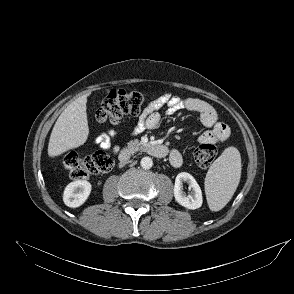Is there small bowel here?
<instances>
[{"label": "small bowel", "mask_w": 294, "mask_h": 294, "mask_svg": "<svg viewBox=\"0 0 294 294\" xmlns=\"http://www.w3.org/2000/svg\"><path fill=\"white\" fill-rule=\"evenodd\" d=\"M166 108V114H174L179 111H189L198 113L202 125L207 129L198 138L200 143H218L225 141L229 134V127L218 120L215 109L207 102L197 98H180L171 93H165L153 99L143 110L138 122L133 128V134L137 135L145 130H154L160 126V110ZM115 135L114 131L100 134L95 138V143L102 149L112 148L114 152L118 151V146L111 145V137ZM170 163L174 167H180L183 163V157L178 150H172L169 154Z\"/></svg>", "instance_id": "c3829d8e"}]
</instances>
